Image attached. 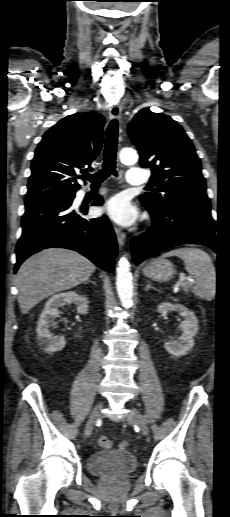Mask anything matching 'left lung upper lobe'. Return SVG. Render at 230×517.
I'll return each instance as SVG.
<instances>
[{
  "label": "left lung upper lobe",
  "mask_w": 230,
  "mask_h": 517,
  "mask_svg": "<svg viewBox=\"0 0 230 517\" xmlns=\"http://www.w3.org/2000/svg\"><path fill=\"white\" fill-rule=\"evenodd\" d=\"M128 135L137 146L141 167L152 169L159 192L140 195L153 211L186 202H209L201 162L183 128L171 117L144 108L133 118Z\"/></svg>",
  "instance_id": "left-lung-upper-lobe-1"
}]
</instances>
